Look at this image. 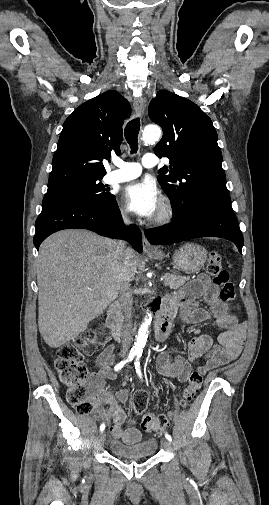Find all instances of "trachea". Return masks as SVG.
<instances>
[{
	"mask_svg": "<svg viewBox=\"0 0 269 505\" xmlns=\"http://www.w3.org/2000/svg\"><path fill=\"white\" fill-rule=\"evenodd\" d=\"M140 131V119L135 118L129 121L125 127L124 135L131 148V153L138 150V134Z\"/></svg>",
	"mask_w": 269,
	"mask_h": 505,
	"instance_id": "1",
	"label": "trachea"
}]
</instances>
